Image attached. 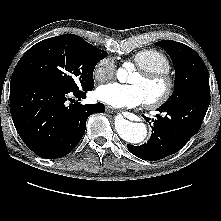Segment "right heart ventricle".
Instances as JSON below:
<instances>
[{"label":"right heart ventricle","mask_w":221,"mask_h":221,"mask_svg":"<svg viewBox=\"0 0 221 221\" xmlns=\"http://www.w3.org/2000/svg\"><path fill=\"white\" fill-rule=\"evenodd\" d=\"M133 62L139 69L149 71H166L171 69L168 57L161 51L149 48L136 52L132 57Z\"/></svg>","instance_id":"1"}]
</instances>
